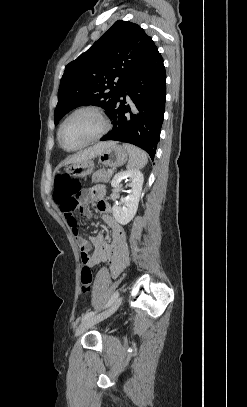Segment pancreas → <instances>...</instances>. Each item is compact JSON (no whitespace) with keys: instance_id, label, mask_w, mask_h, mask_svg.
<instances>
[{"instance_id":"obj_1","label":"pancreas","mask_w":247,"mask_h":407,"mask_svg":"<svg viewBox=\"0 0 247 407\" xmlns=\"http://www.w3.org/2000/svg\"><path fill=\"white\" fill-rule=\"evenodd\" d=\"M113 172L110 170L100 169L93 173L92 175V182H109L110 178L112 177Z\"/></svg>"}]
</instances>
